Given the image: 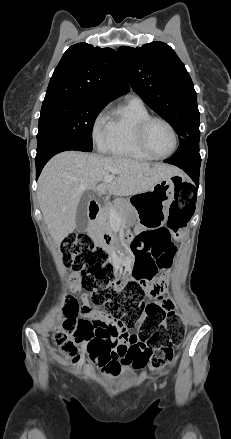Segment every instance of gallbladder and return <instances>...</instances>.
I'll return each instance as SVG.
<instances>
[{"label":"gallbladder","instance_id":"bac80fb5","mask_svg":"<svg viewBox=\"0 0 231 439\" xmlns=\"http://www.w3.org/2000/svg\"><path fill=\"white\" fill-rule=\"evenodd\" d=\"M91 198L89 195L84 194L80 202L77 206L76 211V229L78 231H84L88 226V216H87V209Z\"/></svg>","mask_w":231,"mask_h":439}]
</instances>
